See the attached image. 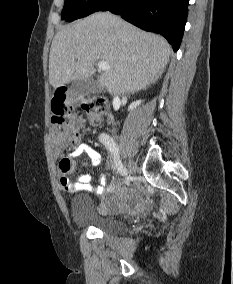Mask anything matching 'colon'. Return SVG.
I'll return each instance as SVG.
<instances>
[{
    "instance_id": "obj_1",
    "label": "colon",
    "mask_w": 233,
    "mask_h": 284,
    "mask_svg": "<svg viewBox=\"0 0 233 284\" xmlns=\"http://www.w3.org/2000/svg\"><path fill=\"white\" fill-rule=\"evenodd\" d=\"M81 108L87 115L90 123L97 124L101 121L107 110V102L100 97H81L73 103L65 101L58 96L51 101L52 122L65 128V139L68 145L76 146L81 138L79 128L72 119L74 108ZM73 168L70 159L64 158L60 162V170L65 175Z\"/></svg>"
}]
</instances>
